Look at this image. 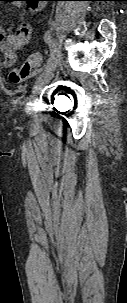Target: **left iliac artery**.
<instances>
[{"mask_svg": "<svg viewBox=\"0 0 127 303\" xmlns=\"http://www.w3.org/2000/svg\"><path fill=\"white\" fill-rule=\"evenodd\" d=\"M44 39L46 41V43L49 45L50 47V55L47 61V65L45 66V69L53 66L54 62H55V56H56V50L53 46V42H52V31L48 30L45 35H44Z\"/></svg>", "mask_w": 127, "mask_h": 303, "instance_id": "1", "label": "left iliac artery"}]
</instances>
